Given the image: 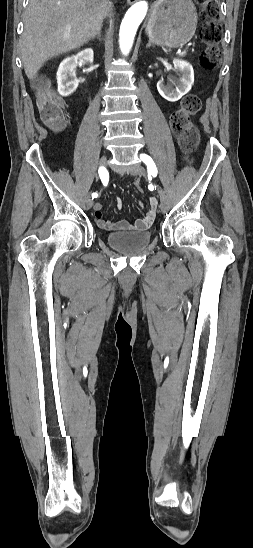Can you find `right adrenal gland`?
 I'll return each instance as SVG.
<instances>
[{
    "mask_svg": "<svg viewBox=\"0 0 253 548\" xmlns=\"http://www.w3.org/2000/svg\"><path fill=\"white\" fill-rule=\"evenodd\" d=\"M95 38H97L99 41L102 40V39H101V31H99V32L97 33V35H96L95 37H92L90 40H94Z\"/></svg>",
    "mask_w": 253,
    "mask_h": 548,
    "instance_id": "2a0ac1e0",
    "label": "right adrenal gland"
}]
</instances>
